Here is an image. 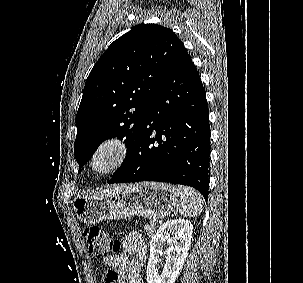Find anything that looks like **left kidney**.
Here are the masks:
<instances>
[{
    "instance_id": "obj_1",
    "label": "left kidney",
    "mask_w": 303,
    "mask_h": 283,
    "mask_svg": "<svg viewBox=\"0 0 303 283\" xmlns=\"http://www.w3.org/2000/svg\"><path fill=\"white\" fill-rule=\"evenodd\" d=\"M193 225L185 219L171 220L162 224L150 242V257L147 264V283H174L179 275L192 240ZM169 244L166 250L167 258L160 272L163 246Z\"/></svg>"
}]
</instances>
